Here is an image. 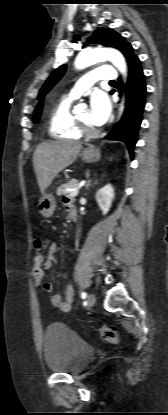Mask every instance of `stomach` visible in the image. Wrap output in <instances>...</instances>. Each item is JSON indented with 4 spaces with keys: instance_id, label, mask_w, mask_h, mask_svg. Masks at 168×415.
<instances>
[{
    "instance_id": "0dacf381",
    "label": "stomach",
    "mask_w": 168,
    "mask_h": 415,
    "mask_svg": "<svg viewBox=\"0 0 168 415\" xmlns=\"http://www.w3.org/2000/svg\"><path fill=\"white\" fill-rule=\"evenodd\" d=\"M82 160L86 163L93 162L98 156L99 151L95 147H87L83 149L80 154ZM56 208V202L51 194L43 193L38 202L39 213L44 217H50L53 215Z\"/></svg>"
}]
</instances>
